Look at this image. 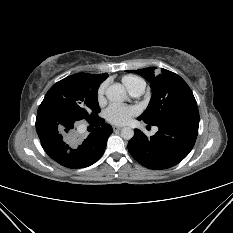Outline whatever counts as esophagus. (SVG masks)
<instances>
[{
    "label": "esophagus",
    "mask_w": 233,
    "mask_h": 233,
    "mask_svg": "<svg viewBox=\"0 0 233 233\" xmlns=\"http://www.w3.org/2000/svg\"><path fill=\"white\" fill-rule=\"evenodd\" d=\"M122 129L121 126H113L114 131H120Z\"/></svg>",
    "instance_id": "esophagus-1"
}]
</instances>
